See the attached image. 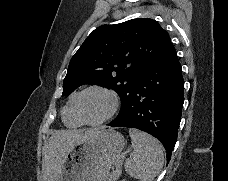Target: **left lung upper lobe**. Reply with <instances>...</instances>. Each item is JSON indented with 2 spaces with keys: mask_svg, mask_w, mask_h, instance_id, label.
<instances>
[{
  "mask_svg": "<svg viewBox=\"0 0 228 181\" xmlns=\"http://www.w3.org/2000/svg\"><path fill=\"white\" fill-rule=\"evenodd\" d=\"M171 41L155 20L139 18L120 24L102 25L91 32L72 57L63 81V94L83 84L115 90L121 99L119 120L131 88L144 67Z\"/></svg>",
  "mask_w": 228,
  "mask_h": 181,
  "instance_id": "left-lung-upper-lobe-1",
  "label": "left lung upper lobe"
}]
</instances>
